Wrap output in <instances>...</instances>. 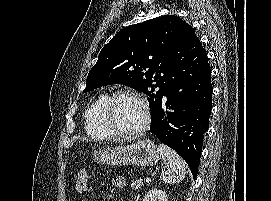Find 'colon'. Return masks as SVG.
Masks as SVG:
<instances>
[{
  "label": "colon",
  "instance_id": "obj_1",
  "mask_svg": "<svg viewBox=\"0 0 271 201\" xmlns=\"http://www.w3.org/2000/svg\"><path fill=\"white\" fill-rule=\"evenodd\" d=\"M88 188V174L84 168L77 173L75 189L79 194L85 193Z\"/></svg>",
  "mask_w": 271,
  "mask_h": 201
}]
</instances>
